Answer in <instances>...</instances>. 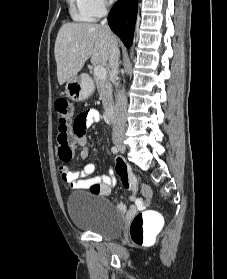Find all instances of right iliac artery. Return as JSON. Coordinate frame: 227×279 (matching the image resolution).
Returning <instances> with one entry per match:
<instances>
[{
  "mask_svg": "<svg viewBox=\"0 0 227 279\" xmlns=\"http://www.w3.org/2000/svg\"><path fill=\"white\" fill-rule=\"evenodd\" d=\"M118 148L117 147H115V146H113L112 148H111V151L114 153V154H117L118 153Z\"/></svg>",
  "mask_w": 227,
  "mask_h": 279,
  "instance_id": "right-iliac-artery-1",
  "label": "right iliac artery"
}]
</instances>
